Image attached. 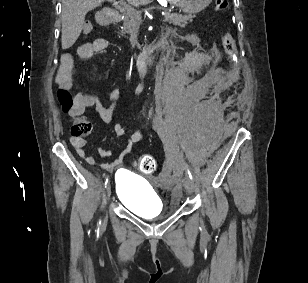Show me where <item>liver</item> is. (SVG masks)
<instances>
[{"instance_id":"1","label":"liver","mask_w":308,"mask_h":283,"mask_svg":"<svg viewBox=\"0 0 308 283\" xmlns=\"http://www.w3.org/2000/svg\"><path fill=\"white\" fill-rule=\"evenodd\" d=\"M105 0H62V49L70 48L78 39L86 14ZM134 6L145 5L151 0H128Z\"/></svg>"}]
</instances>
